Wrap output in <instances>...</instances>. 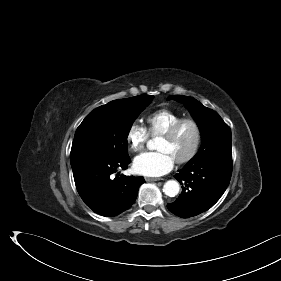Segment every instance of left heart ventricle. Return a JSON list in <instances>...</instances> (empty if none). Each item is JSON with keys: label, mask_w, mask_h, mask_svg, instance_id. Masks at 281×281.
<instances>
[{"label": "left heart ventricle", "mask_w": 281, "mask_h": 281, "mask_svg": "<svg viewBox=\"0 0 281 281\" xmlns=\"http://www.w3.org/2000/svg\"><path fill=\"white\" fill-rule=\"evenodd\" d=\"M195 130L192 125L184 124L172 139L160 138L158 150L168 152L174 160L186 156L195 142Z\"/></svg>", "instance_id": "left-heart-ventricle-1"}]
</instances>
